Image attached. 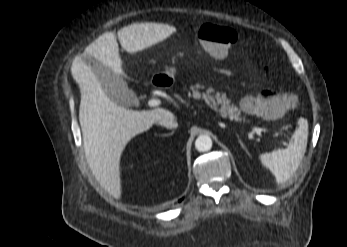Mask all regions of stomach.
<instances>
[{
	"mask_svg": "<svg viewBox=\"0 0 347 247\" xmlns=\"http://www.w3.org/2000/svg\"><path fill=\"white\" fill-rule=\"evenodd\" d=\"M174 73L175 70L173 68H168L165 72H164V76H166L168 79H174Z\"/></svg>",
	"mask_w": 347,
	"mask_h": 247,
	"instance_id": "0dacf381",
	"label": "stomach"
}]
</instances>
